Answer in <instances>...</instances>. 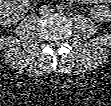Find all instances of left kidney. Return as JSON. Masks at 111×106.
<instances>
[{
	"instance_id": "1",
	"label": "left kidney",
	"mask_w": 111,
	"mask_h": 106,
	"mask_svg": "<svg viewBox=\"0 0 111 106\" xmlns=\"http://www.w3.org/2000/svg\"><path fill=\"white\" fill-rule=\"evenodd\" d=\"M94 17L98 18L99 20H104L109 16L107 14V11H104L103 8L100 7L99 9H96V11L94 12Z\"/></svg>"
}]
</instances>
